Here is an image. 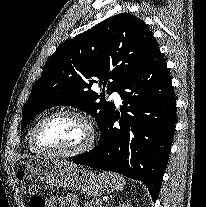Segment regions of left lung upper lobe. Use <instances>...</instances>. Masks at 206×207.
<instances>
[{
	"label": "left lung upper lobe",
	"instance_id": "left-lung-upper-lobe-1",
	"mask_svg": "<svg viewBox=\"0 0 206 207\" xmlns=\"http://www.w3.org/2000/svg\"><path fill=\"white\" fill-rule=\"evenodd\" d=\"M157 46L143 20L129 13L108 18L62 43L32 88L21 128L45 109L70 105L92 115L102 132L115 106L91 87L98 84L108 94L118 91Z\"/></svg>",
	"mask_w": 206,
	"mask_h": 207
}]
</instances>
